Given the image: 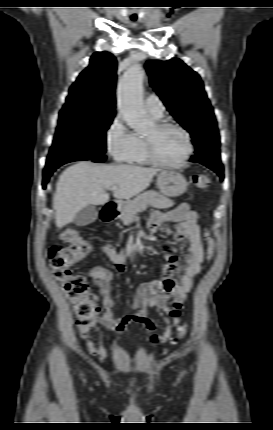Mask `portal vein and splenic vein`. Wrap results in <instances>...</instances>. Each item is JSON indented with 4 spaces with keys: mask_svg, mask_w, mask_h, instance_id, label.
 Listing matches in <instances>:
<instances>
[{
    "mask_svg": "<svg viewBox=\"0 0 273 430\" xmlns=\"http://www.w3.org/2000/svg\"><path fill=\"white\" fill-rule=\"evenodd\" d=\"M118 188L116 187V186H112L111 188H110V190H117Z\"/></svg>",
    "mask_w": 273,
    "mask_h": 430,
    "instance_id": "portal-vein-and-splenic-vein-1",
    "label": "portal vein and splenic vein"
}]
</instances>
